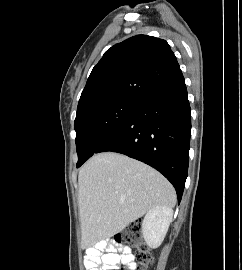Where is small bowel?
Wrapping results in <instances>:
<instances>
[{
	"label": "small bowel",
	"instance_id": "c3829d8e",
	"mask_svg": "<svg viewBox=\"0 0 242 270\" xmlns=\"http://www.w3.org/2000/svg\"><path fill=\"white\" fill-rule=\"evenodd\" d=\"M121 253H118V252ZM88 270H136L137 264L131 248L111 242H100L85 257Z\"/></svg>",
	"mask_w": 242,
	"mask_h": 270
}]
</instances>
